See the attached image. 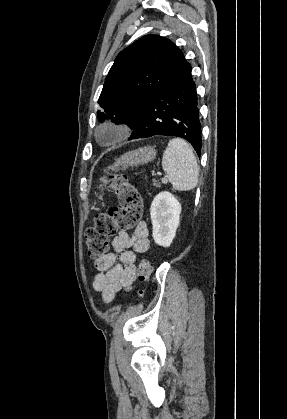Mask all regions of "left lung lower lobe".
Instances as JSON below:
<instances>
[{
	"label": "left lung lower lobe",
	"instance_id": "0a47b994",
	"mask_svg": "<svg viewBox=\"0 0 287 419\" xmlns=\"http://www.w3.org/2000/svg\"><path fill=\"white\" fill-rule=\"evenodd\" d=\"M191 65L144 105L128 140L155 135L181 137L201 155V124Z\"/></svg>",
	"mask_w": 287,
	"mask_h": 419
}]
</instances>
